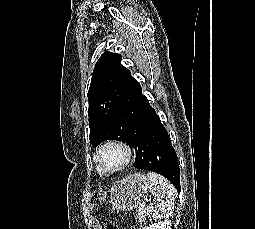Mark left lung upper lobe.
Returning a JSON list of instances; mask_svg holds the SVG:
<instances>
[{"label": "left lung upper lobe", "mask_w": 255, "mask_h": 229, "mask_svg": "<svg viewBox=\"0 0 255 229\" xmlns=\"http://www.w3.org/2000/svg\"><path fill=\"white\" fill-rule=\"evenodd\" d=\"M134 78L121 65V55L104 52L93 70L89 99V140L94 146L112 139L131 145V138L121 126L117 112L125 99Z\"/></svg>", "instance_id": "obj_1"}]
</instances>
